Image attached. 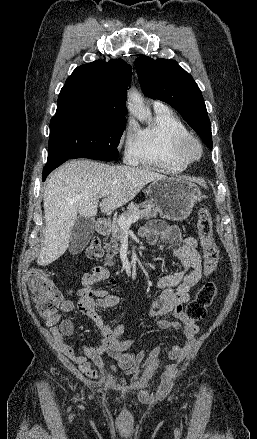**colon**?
Listing matches in <instances>:
<instances>
[{
  "mask_svg": "<svg viewBox=\"0 0 257 439\" xmlns=\"http://www.w3.org/2000/svg\"><path fill=\"white\" fill-rule=\"evenodd\" d=\"M197 229L204 258V276L211 275L217 268L219 250L213 236V222L208 209L201 208L197 216ZM102 254L101 244L97 239L90 242L85 250L88 258H97ZM29 288L38 302V309L45 317H51L57 309L56 290L48 275L40 269H31L28 277ZM80 293V292H79ZM217 293L213 281L205 283L187 304L184 310L185 320L195 323L201 320L207 308L212 304ZM81 295V293H80Z\"/></svg>",
  "mask_w": 257,
  "mask_h": 439,
  "instance_id": "obj_1",
  "label": "colon"
}]
</instances>
